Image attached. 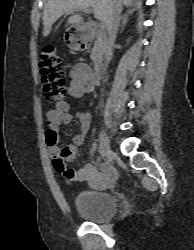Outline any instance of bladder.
<instances>
[{
	"mask_svg": "<svg viewBox=\"0 0 194 250\" xmlns=\"http://www.w3.org/2000/svg\"><path fill=\"white\" fill-rule=\"evenodd\" d=\"M75 211L91 222H103L113 217L117 210L110 193L86 190L78 193L74 200Z\"/></svg>",
	"mask_w": 194,
	"mask_h": 250,
	"instance_id": "1",
	"label": "bladder"
}]
</instances>
